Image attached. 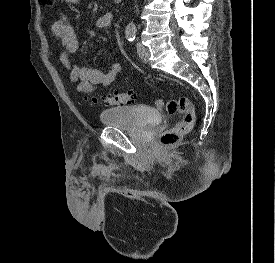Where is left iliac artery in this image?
<instances>
[{"label":"left iliac artery","mask_w":275,"mask_h":263,"mask_svg":"<svg viewBox=\"0 0 275 263\" xmlns=\"http://www.w3.org/2000/svg\"><path fill=\"white\" fill-rule=\"evenodd\" d=\"M136 27L134 25H128L125 30L126 38L129 42H132L136 38Z\"/></svg>","instance_id":"left-iliac-artery-1"}]
</instances>
